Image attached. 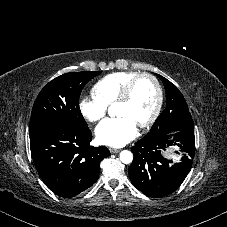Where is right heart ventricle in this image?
<instances>
[{"label": "right heart ventricle", "mask_w": 227, "mask_h": 227, "mask_svg": "<svg viewBox=\"0 0 227 227\" xmlns=\"http://www.w3.org/2000/svg\"><path fill=\"white\" fill-rule=\"evenodd\" d=\"M136 74L137 72L134 71H118L108 74L94 85L93 92L107 106L114 105L128 81Z\"/></svg>", "instance_id": "right-heart-ventricle-1"}]
</instances>
